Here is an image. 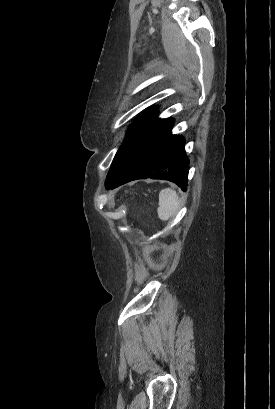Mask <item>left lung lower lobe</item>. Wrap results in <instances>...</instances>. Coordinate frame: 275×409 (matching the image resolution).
Masks as SVG:
<instances>
[{"label":"left lung lower lobe","instance_id":"0a47b994","mask_svg":"<svg viewBox=\"0 0 275 409\" xmlns=\"http://www.w3.org/2000/svg\"><path fill=\"white\" fill-rule=\"evenodd\" d=\"M173 119L155 123L132 147L123 168L107 189L136 179H164L175 182L186 191L189 161L185 140L171 133Z\"/></svg>","mask_w":275,"mask_h":409}]
</instances>
